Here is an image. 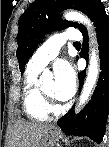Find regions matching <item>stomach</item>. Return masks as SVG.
I'll use <instances>...</instances> for the list:
<instances>
[{"label": "stomach", "mask_w": 109, "mask_h": 147, "mask_svg": "<svg viewBox=\"0 0 109 147\" xmlns=\"http://www.w3.org/2000/svg\"><path fill=\"white\" fill-rule=\"evenodd\" d=\"M61 138L60 131L54 127L50 129L40 141L39 147H53Z\"/></svg>", "instance_id": "stomach-1"}]
</instances>
